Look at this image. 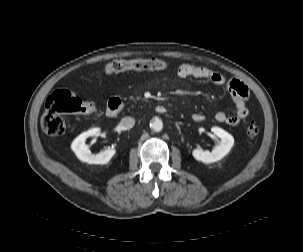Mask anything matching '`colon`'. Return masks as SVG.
<instances>
[{"instance_id": "1", "label": "colon", "mask_w": 303, "mask_h": 252, "mask_svg": "<svg viewBox=\"0 0 303 252\" xmlns=\"http://www.w3.org/2000/svg\"><path fill=\"white\" fill-rule=\"evenodd\" d=\"M169 67L170 64L168 62L160 59L113 60L105 65V72L116 74L126 71H160ZM93 111L94 106L92 103L85 102L71 91L62 89L47 98L41 119L42 128L50 136H61L66 131L62 114L89 115ZM246 132L249 138H255L259 133V128L255 124H250Z\"/></svg>"}]
</instances>
